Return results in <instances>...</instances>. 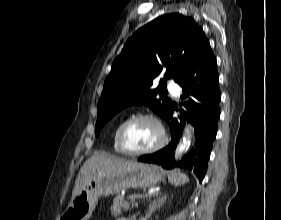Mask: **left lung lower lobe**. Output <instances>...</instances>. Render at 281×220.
Listing matches in <instances>:
<instances>
[{"mask_svg":"<svg viewBox=\"0 0 281 220\" xmlns=\"http://www.w3.org/2000/svg\"><path fill=\"white\" fill-rule=\"evenodd\" d=\"M218 83L216 58L211 47H208L192 60L188 72L178 82L183 88L181 99H186V101L183 103L185 109H180V120L173 118V112L176 109L174 106L166 119L171 128L172 141L166 148L154 154L141 156L138 160L155 163L167 169L176 166L193 170L201 182L207 170L220 117L221 94ZM186 119L195 127L196 143L195 147L176 164L173 157L174 151Z\"/></svg>","mask_w":281,"mask_h":220,"instance_id":"1","label":"left lung lower lobe"}]
</instances>
